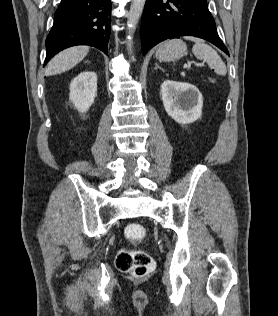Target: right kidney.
Wrapping results in <instances>:
<instances>
[{
    "label": "right kidney",
    "instance_id": "right-kidney-1",
    "mask_svg": "<svg viewBox=\"0 0 278 316\" xmlns=\"http://www.w3.org/2000/svg\"><path fill=\"white\" fill-rule=\"evenodd\" d=\"M96 96L97 75L95 72H81L71 81L69 99L79 112H86Z\"/></svg>",
    "mask_w": 278,
    "mask_h": 316
}]
</instances>
